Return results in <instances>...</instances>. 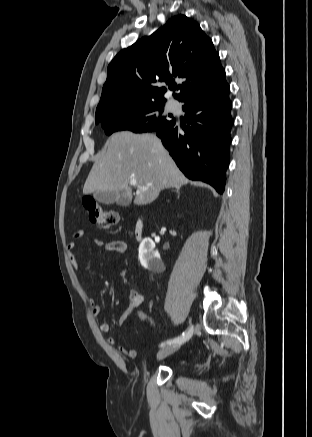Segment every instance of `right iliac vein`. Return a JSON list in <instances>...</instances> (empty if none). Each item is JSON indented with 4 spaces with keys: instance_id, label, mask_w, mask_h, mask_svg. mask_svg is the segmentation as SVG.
Masks as SVG:
<instances>
[{
    "instance_id": "right-iliac-vein-1",
    "label": "right iliac vein",
    "mask_w": 312,
    "mask_h": 437,
    "mask_svg": "<svg viewBox=\"0 0 312 437\" xmlns=\"http://www.w3.org/2000/svg\"><path fill=\"white\" fill-rule=\"evenodd\" d=\"M180 343H174V344H169L165 347H163L157 354V359L161 360L164 359L165 357L169 356L170 354L174 353L175 351H177L180 348Z\"/></svg>"
}]
</instances>
